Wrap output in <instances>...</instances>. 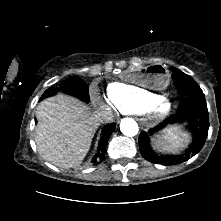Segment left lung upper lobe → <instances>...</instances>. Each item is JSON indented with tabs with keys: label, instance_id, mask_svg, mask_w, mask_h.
Returning <instances> with one entry per match:
<instances>
[{
	"label": "left lung upper lobe",
	"instance_id": "5c2ea615",
	"mask_svg": "<svg viewBox=\"0 0 221 221\" xmlns=\"http://www.w3.org/2000/svg\"><path fill=\"white\" fill-rule=\"evenodd\" d=\"M173 80L182 98L201 94L202 90L194 79L178 69L173 70ZM166 162V160H164Z\"/></svg>",
	"mask_w": 221,
	"mask_h": 221
}]
</instances>
